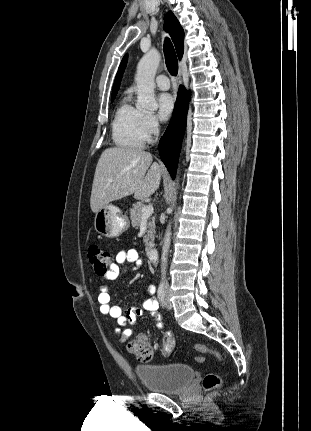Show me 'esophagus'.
<instances>
[{
  "instance_id": "esophagus-1",
  "label": "esophagus",
  "mask_w": 311,
  "mask_h": 431,
  "mask_svg": "<svg viewBox=\"0 0 311 431\" xmlns=\"http://www.w3.org/2000/svg\"><path fill=\"white\" fill-rule=\"evenodd\" d=\"M181 81V74L179 73L178 74V82H180Z\"/></svg>"
}]
</instances>
